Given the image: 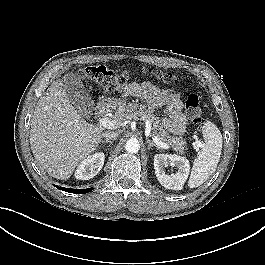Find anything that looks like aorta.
<instances>
[{"mask_svg":"<svg viewBox=\"0 0 265 265\" xmlns=\"http://www.w3.org/2000/svg\"><path fill=\"white\" fill-rule=\"evenodd\" d=\"M125 150L129 153H137L140 150V143L137 139H129L125 144Z\"/></svg>","mask_w":265,"mask_h":265,"instance_id":"aorta-1","label":"aorta"}]
</instances>
